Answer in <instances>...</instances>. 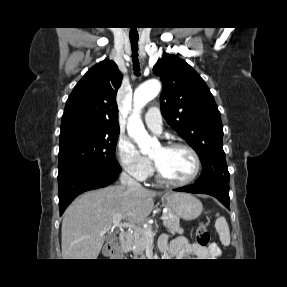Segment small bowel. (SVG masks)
Segmentation results:
<instances>
[{
	"mask_svg": "<svg viewBox=\"0 0 287 287\" xmlns=\"http://www.w3.org/2000/svg\"><path fill=\"white\" fill-rule=\"evenodd\" d=\"M159 248L167 257L177 259L185 257L208 259L220 252L218 245L215 243L204 247L197 243L190 244L184 237H177L168 243V238L161 236L159 239Z\"/></svg>",
	"mask_w": 287,
	"mask_h": 287,
	"instance_id": "c3829d8e",
	"label": "small bowel"
}]
</instances>
